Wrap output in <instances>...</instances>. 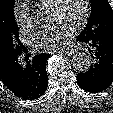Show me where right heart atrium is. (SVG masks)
I'll list each match as a JSON object with an SVG mask.
<instances>
[{
  "label": "right heart atrium",
  "instance_id": "right-heart-atrium-1",
  "mask_svg": "<svg viewBox=\"0 0 113 113\" xmlns=\"http://www.w3.org/2000/svg\"><path fill=\"white\" fill-rule=\"evenodd\" d=\"M13 18L23 33H29L34 29V20L30 10V7L24 0H17L13 6Z\"/></svg>",
  "mask_w": 113,
  "mask_h": 113
}]
</instances>
